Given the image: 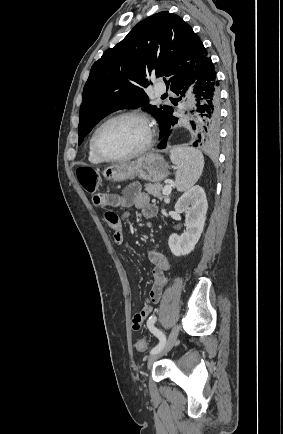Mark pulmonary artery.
Segmentation results:
<instances>
[{"label":"pulmonary artery","instance_id":"pulmonary-artery-1","mask_svg":"<svg viewBox=\"0 0 283 434\" xmlns=\"http://www.w3.org/2000/svg\"><path fill=\"white\" fill-rule=\"evenodd\" d=\"M155 94L162 95L166 92V86L163 83L156 84L154 88Z\"/></svg>","mask_w":283,"mask_h":434}]
</instances>
